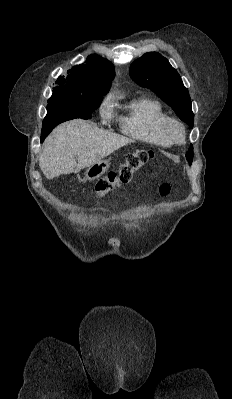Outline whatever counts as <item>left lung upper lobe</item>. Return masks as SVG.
<instances>
[{
  "instance_id": "left-lung-upper-lobe-1",
  "label": "left lung upper lobe",
  "mask_w": 232,
  "mask_h": 399,
  "mask_svg": "<svg viewBox=\"0 0 232 399\" xmlns=\"http://www.w3.org/2000/svg\"><path fill=\"white\" fill-rule=\"evenodd\" d=\"M131 78L140 86L155 92L175 111L176 115L193 128L194 114L188 89L168 60L157 52H148L135 60L129 69ZM189 164L193 161V147L186 153Z\"/></svg>"
}]
</instances>
